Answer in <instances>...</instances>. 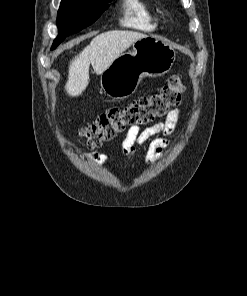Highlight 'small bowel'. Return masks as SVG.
<instances>
[{
	"label": "small bowel",
	"mask_w": 247,
	"mask_h": 296,
	"mask_svg": "<svg viewBox=\"0 0 247 296\" xmlns=\"http://www.w3.org/2000/svg\"><path fill=\"white\" fill-rule=\"evenodd\" d=\"M180 114V108H175L168 114L164 122L155 123L143 130L138 126L131 127L123 141L125 160H131L134 157L137 146L144 144L155 135L162 134V136L151 140L145 153L146 161L150 166L161 160L169 150L171 142L168 136L175 131ZM86 158L97 165H105L108 162V157L98 152L87 154Z\"/></svg>",
	"instance_id": "1"
}]
</instances>
